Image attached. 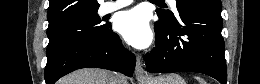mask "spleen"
Instances as JSON below:
<instances>
[{
    "instance_id": "spleen-1",
    "label": "spleen",
    "mask_w": 260,
    "mask_h": 84,
    "mask_svg": "<svg viewBox=\"0 0 260 84\" xmlns=\"http://www.w3.org/2000/svg\"><path fill=\"white\" fill-rule=\"evenodd\" d=\"M197 79V81L199 82V84H206V81L201 78V77H195Z\"/></svg>"
}]
</instances>
